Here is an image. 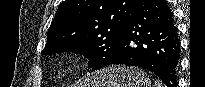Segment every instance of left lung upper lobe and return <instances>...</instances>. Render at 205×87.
<instances>
[{
  "instance_id": "1",
  "label": "left lung upper lobe",
  "mask_w": 205,
  "mask_h": 87,
  "mask_svg": "<svg viewBox=\"0 0 205 87\" xmlns=\"http://www.w3.org/2000/svg\"><path fill=\"white\" fill-rule=\"evenodd\" d=\"M137 0H66L60 4L41 54L75 52L97 70L116 54Z\"/></svg>"
}]
</instances>
